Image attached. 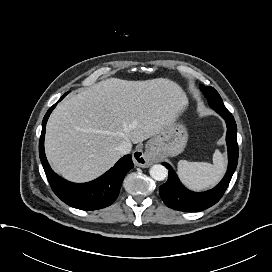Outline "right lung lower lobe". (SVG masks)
I'll return each instance as SVG.
<instances>
[{
    "label": "right lung lower lobe",
    "mask_w": 272,
    "mask_h": 272,
    "mask_svg": "<svg viewBox=\"0 0 272 272\" xmlns=\"http://www.w3.org/2000/svg\"><path fill=\"white\" fill-rule=\"evenodd\" d=\"M56 104L44 116L39 141V156L52 190L64 203L77 209L96 210L111 205L119 195L125 175L134 166L131 155H125L105 174L88 183L75 184L59 177L51 169L44 152L45 126Z\"/></svg>",
    "instance_id": "1"
}]
</instances>
